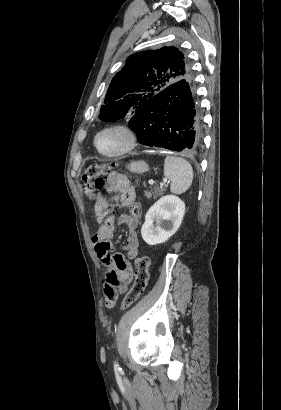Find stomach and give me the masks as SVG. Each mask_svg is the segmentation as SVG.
I'll return each mask as SVG.
<instances>
[{
  "label": "stomach",
  "instance_id": "0dacf381",
  "mask_svg": "<svg viewBox=\"0 0 281 410\" xmlns=\"http://www.w3.org/2000/svg\"><path fill=\"white\" fill-rule=\"evenodd\" d=\"M128 169L133 173H144L149 170V167L145 161H135L128 166Z\"/></svg>",
  "mask_w": 281,
  "mask_h": 410
}]
</instances>
